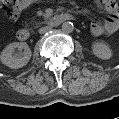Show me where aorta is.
<instances>
[{"label":"aorta","mask_w":119,"mask_h":119,"mask_svg":"<svg viewBox=\"0 0 119 119\" xmlns=\"http://www.w3.org/2000/svg\"><path fill=\"white\" fill-rule=\"evenodd\" d=\"M61 27H62V31L65 32V33L72 32L73 28H74L72 22H64Z\"/></svg>","instance_id":"762f6f07"}]
</instances>
